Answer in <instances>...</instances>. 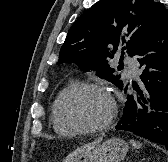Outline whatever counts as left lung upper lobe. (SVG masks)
Here are the masks:
<instances>
[{"label":"left lung upper lobe","mask_w":168,"mask_h":162,"mask_svg":"<svg viewBox=\"0 0 168 162\" xmlns=\"http://www.w3.org/2000/svg\"><path fill=\"white\" fill-rule=\"evenodd\" d=\"M167 15L157 0H101L72 25L57 64L75 63L82 70H95L122 89L124 83L113 74L109 61L118 48L136 55Z\"/></svg>","instance_id":"1"}]
</instances>
